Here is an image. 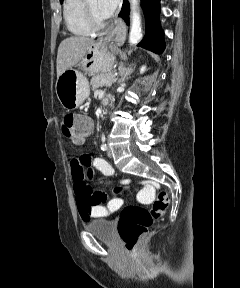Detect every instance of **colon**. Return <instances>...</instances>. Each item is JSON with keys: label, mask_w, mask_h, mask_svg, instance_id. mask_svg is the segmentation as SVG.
Wrapping results in <instances>:
<instances>
[{"label": "colon", "mask_w": 240, "mask_h": 288, "mask_svg": "<svg viewBox=\"0 0 240 288\" xmlns=\"http://www.w3.org/2000/svg\"><path fill=\"white\" fill-rule=\"evenodd\" d=\"M91 120L87 116L66 114L62 120V131L70 139L78 140L88 135ZM169 204L167 193L160 192L151 209L138 205L125 207L120 215L118 230L127 251L134 252L153 221L161 217Z\"/></svg>", "instance_id": "1"}]
</instances>
